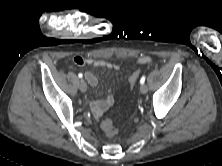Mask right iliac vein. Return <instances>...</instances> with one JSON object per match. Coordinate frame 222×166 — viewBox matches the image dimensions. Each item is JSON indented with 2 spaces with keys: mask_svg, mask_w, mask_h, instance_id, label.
Listing matches in <instances>:
<instances>
[{
  "mask_svg": "<svg viewBox=\"0 0 222 166\" xmlns=\"http://www.w3.org/2000/svg\"><path fill=\"white\" fill-rule=\"evenodd\" d=\"M80 91L81 92H86L87 91V84L85 83V81H81L80 85H79Z\"/></svg>",
  "mask_w": 222,
  "mask_h": 166,
  "instance_id": "1",
  "label": "right iliac vein"
}]
</instances>
